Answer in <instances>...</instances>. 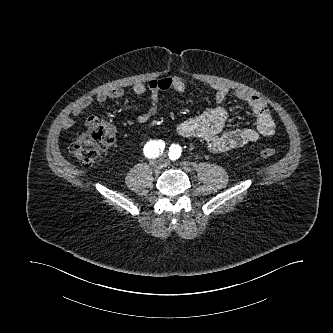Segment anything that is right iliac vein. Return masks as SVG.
Returning <instances> with one entry per match:
<instances>
[{
	"instance_id": "right-iliac-vein-1",
	"label": "right iliac vein",
	"mask_w": 333,
	"mask_h": 333,
	"mask_svg": "<svg viewBox=\"0 0 333 333\" xmlns=\"http://www.w3.org/2000/svg\"><path fill=\"white\" fill-rule=\"evenodd\" d=\"M151 167L154 172H159L163 167V163L161 160L156 159L151 162Z\"/></svg>"
}]
</instances>
